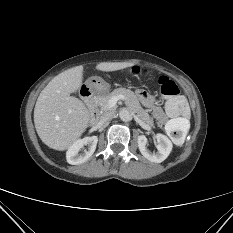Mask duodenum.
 <instances>
[{"instance_id": "duodenum-1", "label": "duodenum", "mask_w": 233, "mask_h": 233, "mask_svg": "<svg viewBox=\"0 0 233 233\" xmlns=\"http://www.w3.org/2000/svg\"><path fill=\"white\" fill-rule=\"evenodd\" d=\"M81 95L84 98V100L86 101V103L90 109V112H91L90 122H91V124H95L98 121L99 112H98L97 107H96V99L94 96L93 89L85 86L81 89Z\"/></svg>"}]
</instances>
